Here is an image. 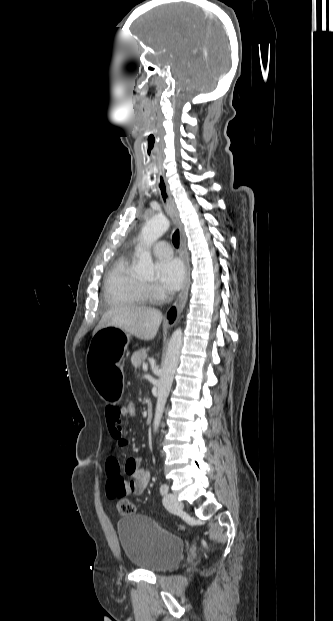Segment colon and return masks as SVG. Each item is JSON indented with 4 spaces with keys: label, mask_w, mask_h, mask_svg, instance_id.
Masks as SVG:
<instances>
[{
    "label": "colon",
    "mask_w": 333,
    "mask_h": 621,
    "mask_svg": "<svg viewBox=\"0 0 333 621\" xmlns=\"http://www.w3.org/2000/svg\"><path fill=\"white\" fill-rule=\"evenodd\" d=\"M120 407L122 409L123 416L127 418H133L137 415V404L131 397L122 399ZM117 510L122 515H131L135 511V507L128 499L122 498L117 503Z\"/></svg>",
    "instance_id": "colon-1"
}]
</instances>
